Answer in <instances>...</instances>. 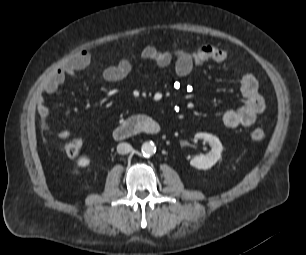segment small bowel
I'll return each instance as SVG.
<instances>
[{"mask_svg":"<svg viewBox=\"0 0 306 255\" xmlns=\"http://www.w3.org/2000/svg\"><path fill=\"white\" fill-rule=\"evenodd\" d=\"M141 56L160 68H166L173 63L178 77H186L195 68L203 67L210 62H223L228 57L226 51L209 44L202 45L192 52L179 48L161 50L153 45H147L143 48ZM90 59V53L82 50L45 79L36 96L37 112L41 118H47L50 113L45 96L54 94L65 82L67 76H74L79 70L84 69L90 63ZM131 70V61L122 58L116 64L104 68L101 77L107 82H118L125 79ZM240 91L244 104L238 108L227 109L222 115L223 124L228 128L253 125L265 109L264 98L259 92V82L253 73H245L241 76ZM43 127L48 129L45 122ZM55 136L64 140L69 137V132L64 129L58 130Z\"/></svg>","mask_w":306,"mask_h":255,"instance_id":"obj_1","label":"small bowel"}]
</instances>
